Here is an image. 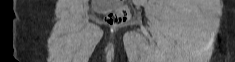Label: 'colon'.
Listing matches in <instances>:
<instances>
[{
    "label": "colon",
    "instance_id": "obj_1",
    "mask_svg": "<svg viewBox=\"0 0 235 62\" xmlns=\"http://www.w3.org/2000/svg\"><path fill=\"white\" fill-rule=\"evenodd\" d=\"M119 2H122L119 0ZM130 12L126 6L120 5L107 16V22L112 26H118L129 20Z\"/></svg>",
    "mask_w": 235,
    "mask_h": 62
}]
</instances>
